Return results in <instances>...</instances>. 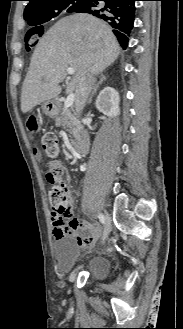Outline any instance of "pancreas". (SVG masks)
Listing matches in <instances>:
<instances>
[{"label": "pancreas", "mask_w": 183, "mask_h": 329, "mask_svg": "<svg viewBox=\"0 0 183 329\" xmlns=\"http://www.w3.org/2000/svg\"><path fill=\"white\" fill-rule=\"evenodd\" d=\"M54 119L56 126H63L72 137H75L79 128V120L72 113L71 109L64 110V108H59L54 115Z\"/></svg>", "instance_id": "pancreas-1"}]
</instances>
